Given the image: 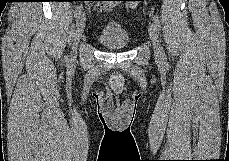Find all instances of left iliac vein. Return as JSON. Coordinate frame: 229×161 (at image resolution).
Masks as SVG:
<instances>
[{
	"instance_id": "4c4485c4",
	"label": "left iliac vein",
	"mask_w": 229,
	"mask_h": 161,
	"mask_svg": "<svg viewBox=\"0 0 229 161\" xmlns=\"http://www.w3.org/2000/svg\"><path fill=\"white\" fill-rule=\"evenodd\" d=\"M148 33H149L150 39H151L153 47H154L155 55L160 57L162 55V48L160 45L158 33L156 31L155 26L152 23L149 24Z\"/></svg>"
}]
</instances>
